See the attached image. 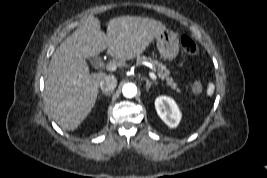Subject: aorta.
Masks as SVG:
<instances>
[{"instance_id": "762f6f07", "label": "aorta", "mask_w": 267, "mask_h": 178, "mask_svg": "<svg viewBox=\"0 0 267 178\" xmlns=\"http://www.w3.org/2000/svg\"><path fill=\"white\" fill-rule=\"evenodd\" d=\"M122 93L126 98H133L137 94V87L133 83H127L123 86Z\"/></svg>"}]
</instances>
